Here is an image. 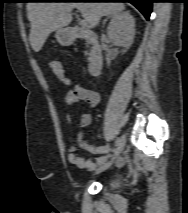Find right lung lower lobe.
<instances>
[{
    "instance_id": "1",
    "label": "right lung lower lobe",
    "mask_w": 188,
    "mask_h": 213,
    "mask_svg": "<svg viewBox=\"0 0 188 213\" xmlns=\"http://www.w3.org/2000/svg\"><path fill=\"white\" fill-rule=\"evenodd\" d=\"M31 1H41V0H31ZM110 1L130 2L139 9V11L145 16L146 19H149L150 17L152 11V2H154V0H110Z\"/></svg>"
}]
</instances>
